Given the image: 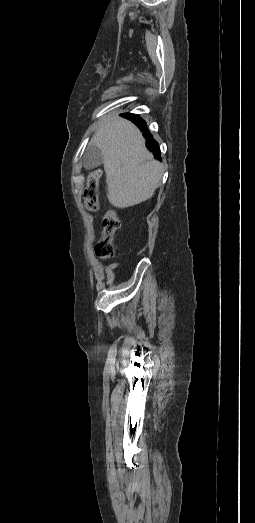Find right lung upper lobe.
Listing matches in <instances>:
<instances>
[{
  "instance_id": "right-lung-upper-lobe-1",
  "label": "right lung upper lobe",
  "mask_w": 255,
  "mask_h": 523,
  "mask_svg": "<svg viewBox=\"0 0 255 523\" xmlns=\"http://www.w3.org/2000/svg\"><path fill=\"white\" fill-rule=\"evenodd\" d=\"M123 116L130 119L132 122H134L139 129L143 132V136L146 139V147L154 154L155 158L158 160H161V152L158 143L153 139L152 135L149 133L146 122L143 121L142 118H140L136 114L126 113L123 114Z\"/></svg>"
}]
</instances>
